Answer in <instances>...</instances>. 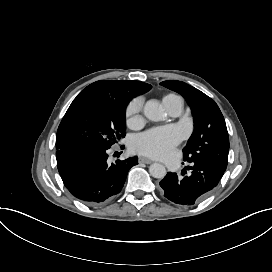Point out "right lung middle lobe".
I'll list each match as a JSON object with an SVG mask.
<instances>
[{
	"label": "right lung middle lobe",
	"mask_w": 272,
	"mask_h": 272,
	"mask_svg": "<svg viewBox=\"0 0 272 272\" xmlns=\"http://www.w3.org/2000/svg\"><path fill=\"white\" fill-rule=\"evenodd\" d=\"M128 103L117 97L78 95L59 125L57 150L81 147L109 149L125 136Z\"/></svg>",
	"instance_id": "right-lung-middle-lobe-1"
}]
</instances>
